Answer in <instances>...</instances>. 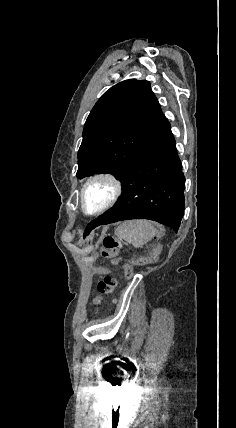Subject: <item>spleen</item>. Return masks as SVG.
<instances>
[{"mask_svg":"<svg viewBox=\"0 0 236 428\" xmlns=\"http://www.w3.org/2000/svg\"><path fill=\"white\" fill-rule=\"evenodd\" d=\"M116 234L134 248H142L155 236V228L147 220H129L119 226Z\"/></svg>","mask_w":236,"mask_h":428,"instance_id":"obj_1","label":"spleen"}]
</instances>
